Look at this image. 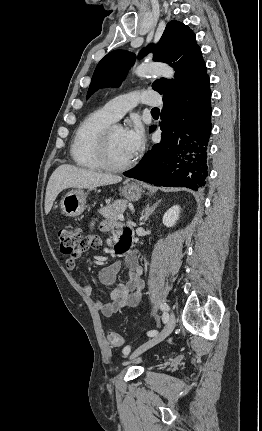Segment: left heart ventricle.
Returning a JSON list of instances; mask_svg holds the SVG:
<instances>
[{"instance_id":"b2bd125f","label":"left heart ventricle","mask_w":262,"mask_h":431,"mask_svg":"<svg viewBox=\"0 0 262 431\" xmlns=\"http://www.w3.org/2000/svg\"><path fill=\"white\" fill-rule=\"evenodd\" d=\"M110 156L115 164H123L132 159L126 144L124 142V130L116 127L110 140Z\"/></svg>"}]
</instances>
